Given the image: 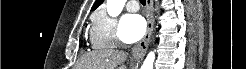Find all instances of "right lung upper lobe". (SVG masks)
I'll return each mask as SVG.
<instances>
[{"label":"right lung upper lobe","mask_w":246,"mask_h":69,"mask_svg":"<svg viewBox=\"0 0 246 69\" xmlns=\"http://www.w3.org/2000/svg\"><path fill=\"white\" fill-rule=\"evenodd\" d=\"M103 0H96L94 5L92 6V11L95 10L100 4H102Z\"/></svg>","instance_id":"right-lung-upper-lobe-1"}]
</instances>
